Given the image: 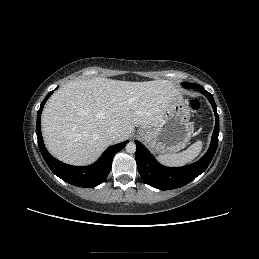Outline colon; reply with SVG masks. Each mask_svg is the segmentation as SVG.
I'll return each instance as SVG.
<instances>
[{"mask_svg": "<svg viewBox=\"0 0 259 259\" xmlns=\"http://www.w3.org/2000/svg\"><path fill=\"white\" fill-rule=\"evenodd\" d=\"M200 106H201L200 101H199L198 99H196V98H193V99H191V100L188 102V107H189V109H190L191 111H193V112L199 110V109H200Z\"/></svg>", "mask_w": 259, "mask_h": 259, "instance_id": "1", "label": "colon"}]
</instances>
